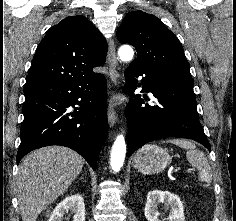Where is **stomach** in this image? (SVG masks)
Masks as SVG:
<instances>
[{
    "mask_svg": "<svg viewBox=\"0 0 236 221\" xmlns=\"http://www.w3.org/2000/svg\"><path fill=\"white\" fill-rule=\"evenodd\" d=\"M171 162L166 149L147 144L139 149L133 159L134 167L142 174H155L163 171Z\"/></svg>",
    "mask_w": 236,
    "mask_h": 221,
    "instance_id": "1",
    "label": "stomach"
}]
</instances>
